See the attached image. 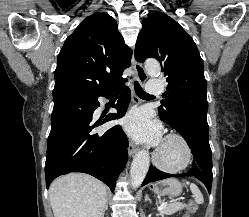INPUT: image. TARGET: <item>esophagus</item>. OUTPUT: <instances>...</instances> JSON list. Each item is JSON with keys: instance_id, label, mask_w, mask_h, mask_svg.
I'll use <instances>...</instances> for the list:
<instances>
[{"instance_id": "esophagus-1", "label": "esophagus", "mask_w": 249, "mask_h": 217, "mask_svg": "<svg viewBox=\"0 0 249 217\" xmlns=\"http://www.w3.org/2000/svg\"><path fill=\"white\" fill-rule=\"evenodd\" d=\"M132 65H133V68H134V71L136 74V79L140 83H144L147 79V74H146L143 66L139 62H137L134 55L132 57ZM131 90H132V101H133V103L136 104L139 102V98L136 96V94L134 92L133 85H131ZM128 150H129V155L133 156L138 151V148L136 147V145L132 141H129Z\"/></svg>"}]
</instances>
